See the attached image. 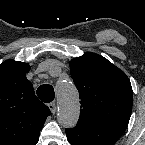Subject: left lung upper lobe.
I'll use <instances>...</instances> for the list:
<instances>
[{
  "mask_svg": "<svg viewBox=\"0 0 145 145\" xmlns=\"http://www.w3.org/2000/svg\"><path fill=\"white\" fill-rule=\"evenodd\" d=\"M70 73L79 91V123L125 124L131 116L130 80L104 57L87 53L70 62Z\"/></svg>",
  "mask_w": 145,
  "mask_h": 145,
  "instance_id": "left-lung-upper-lobe-1",
  "label": "left lung upper lobe"
}]
</instances>
